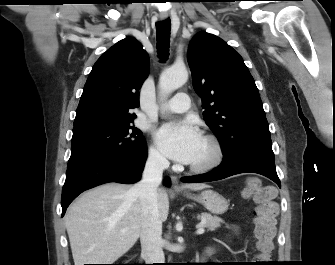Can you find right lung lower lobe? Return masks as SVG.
<instances>
[{
	"mask_svg": "<svg viewBox=\"0 0 335 265\" xmlns=\"http://www.w3.org/2000/svg\"><path fill=\"white\" fill-rule=\"evenodd\" d=\"M147 158L146 149L131 157H88L68 163L62 189V216L69 204L83 191L94 186L119 182L125 184L140 180ZM170 185V180L166 179Z\"/></svg>",
	"mask_w": 335,
	"mask_h": 265,
	"instance_id": "1",
	"label": "right lung lower lobe"
}]
</instances>
